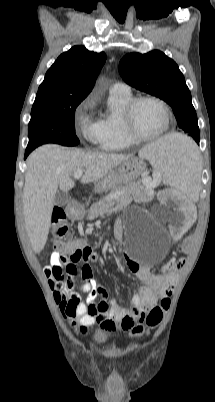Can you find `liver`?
I'll return each instance as SVG.
<instances>
[{
	"instance_id": "1",
	"label": "liver",
	"mask_w": 215,
	"mask_h": 402,
	"mask_svg": "<svg viewBox=\"0 0 215 402\" xmlns=\"http://www.w3.org/2000/svg\"><path fill=\"white\" fill-rule=\"evenodd\" d=\"M129 157L66 150L56 144L43 145L29 155L23 188V214L35 253H40L47 242L58 188L65 192L73 188L75 183L71 176L78 170L84 172L81 183L97 182Z\"/></svg>"
}]
</instances>
